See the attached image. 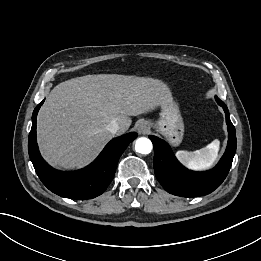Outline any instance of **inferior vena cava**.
<instances>
[{
  "label": "inferior vena cava",
  "instance_id": "inferior-vena-cava-1",
  "mask_svg": "<svg viewBox=\"0 0 261 261\" xmlns=\"http://www.w3.org/2000/svg\"><path fill=\"white\" fill-rule=\"evenodd\" d=\"M106 129L111 134H116L120 130V126L116 120H113L107 125Z\"/></svg>",
  "mask_w": 261,
  "mask_h": 261
}]
</instances>
